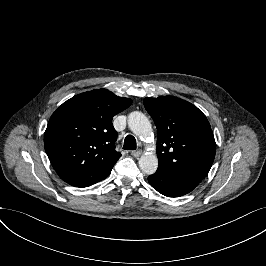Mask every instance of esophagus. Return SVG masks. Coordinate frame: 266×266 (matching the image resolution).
Wrapping results in <instances>:
<instances>
[{
  "label": "esophagus",
  "instance_id": "esophagus-1",
  "mask_svg": "<svg viewBox=\"0 0 266 266\" xmlns=\"http://www.w3.org/2000/svg\"><path fill=\"white\" fill-rule=\"evenodd\" d=\"M142 154L141 150H137V151H131V155L133 157H139Z\"/></svg>",
  "mask_w": 266,
  "mask_h": 266
}]
</instances>
